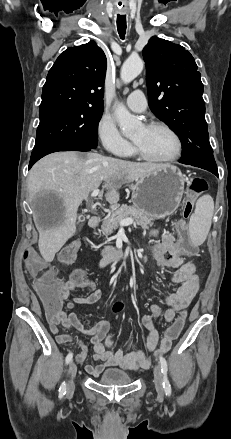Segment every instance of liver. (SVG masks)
I'll use <instances>...</instances> for the list:
<instances>
[{"label":"liver","instance_id":"liver-1","mask_svg":"<svg viewBox=\"0 0 231 439\" xmlns=\"http://www.w3.org/2000/svg\"><path fill=\"white\" fill-rule=\"evenodd\" d=\"M168 164L134 163L98 153L57 152L39 160L30 170L27 186L30 200L52 195L60 204L51 216L34 221L39 231L38 247L46 262L76 232L78 207L89 194L105 182V197L110 204L119 201L122 185L138 180Z\"/></svg>","mask_w":231,"mask_h":439}]
</instances>
